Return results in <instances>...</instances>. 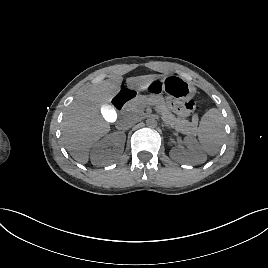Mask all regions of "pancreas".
Wrapping results in <instances>:
<instances>
[{
  "mask_svg": "<svg viewBox=\"0 0 268 268\" xmlns=\"http://www.w3.org/2000/svg\"><path fill=\"white\" fill-rule=\"evenodd\" d=\"M147 105L155 106L165 124L177 132L187 135H195L197 133V122H189L186 119L176 117L167 108L164 98L159 95L138 96L127 105V110L130 113L137 114L143 112Z\"/></svg>",
  "mask_w": 268,
  "mask_h": 268,
  "instance_id": "pancreas-1",
  "label": "pancreas"
}]
</instances>
